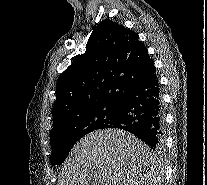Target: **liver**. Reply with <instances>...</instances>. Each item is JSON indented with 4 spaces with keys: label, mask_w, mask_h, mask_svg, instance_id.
<instances>
[{
    "label": "liver",
    "mask_w": 207,
    "mask_h": 185,
    "mask_svg": "<svg viewBox=\"0 0 207 185\" xmlns=\"http://www.w3.org/2000/svg\"><path fill=\"white\" fill-rule=\"evenodd\" d=\"M150 147L124 129H98L80 139L64 163L61 185H154Z\"/></svg>",
    "instance_id": "liver-1"
}]
</instances>
